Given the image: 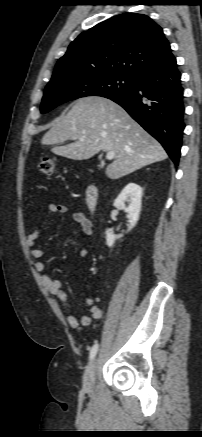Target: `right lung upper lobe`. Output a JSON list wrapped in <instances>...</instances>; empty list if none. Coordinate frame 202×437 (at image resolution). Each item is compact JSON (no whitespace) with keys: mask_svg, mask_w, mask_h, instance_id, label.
<instances>
[{"mask_svg":"<svg viewBox=\"0 0 202 437\" xmlns=\"http://www.w3.org/2000/svg\"><path fill=\"white\" fill-rule=\"evenodd\" d=\"M173 58L158 24L147 15L124 13L81 33L57 62L52 80L104 73L137 78Z\"/></svg>","mask_w":202,"mask_h":437,"instance_id":"right-lung-upper-lobe-1","label":"right lung upper lobe"}]
</instances>
